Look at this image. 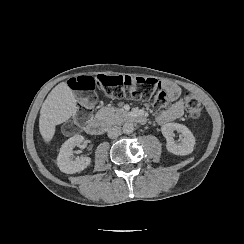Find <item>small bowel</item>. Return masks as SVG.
I'll use <instances>...</instances> for the list:
<instances>
[{"instance_id": "1", "label": "small bowel", "mask_w": 244, "mask_h": 244, "mask_svg": "<svg viewBox=\"0 0 244 244\" xmlns=\"http://www.w3.org/2000/svg\"><path fill=\"white\" fill-rule=\"evenodd\" d=\"M163 89L171 104L157 113L155 121L159 125H165L180 119L184 115L186 106L185 100L181 98V89L178 85L165 82Z\"/></svg>"}]
</instances>
